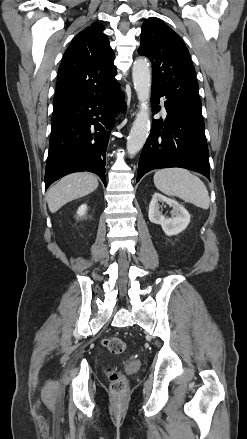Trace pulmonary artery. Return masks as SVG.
I'll return each mask as SVG.
<instances>
[{"label": "pulmonary artery", "instance_id": "obj_1", "mask_svg": "<svg viewBox=\"0 0 247 439\" xmlns=\"http://www.w3.org/2000/svg\"><path fill=\"white\" fill-rule=\"evenodd\" d=\"M163 112H166V109H165L164 105H163Z\"/></svg>", "mask_w": 247, "mask_h": 439}]
</instances>
